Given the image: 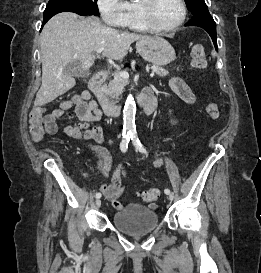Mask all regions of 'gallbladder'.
Wrapping results in <instances>:
<instances>
[{"label": "gallbladder", "mask_w": 261, "mask_h": 273, "mask_svg": "<svg viewBox=\"0 0 261 273\" xmlns=\"http://www.w3.org/2000/svg\"><path fill=\"white\" fill-rule=\"evenodd\" d=\"M64 74L81 77L83 79L89 78L91 73L88 70L82 69L81 63L72 62L64 67Z\"/></svg>", "instance_id": "1"}]
</instances>
